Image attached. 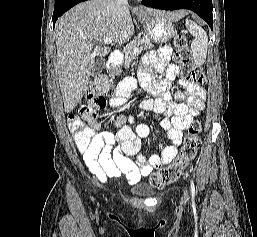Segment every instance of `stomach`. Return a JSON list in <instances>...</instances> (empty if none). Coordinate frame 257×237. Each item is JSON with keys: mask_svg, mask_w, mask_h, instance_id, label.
Returning <instances> with one entry per match:
<instances>
[{"mask_svg": "<svg viewBox=\"0 0 257 237\" xmlns=\"http://www.w3.org/2000/svg\"><path fill=\"white\" fill-rule=\"evenodd\" d=\"M139 20L149 40L155 43H166L175 34L172 22L164 15L143 12L140 13Z\"/></svg>", "mask_w": 257, "mask_h": 237, "instance_id": "1", "label": "stomach"}]
</instances>
